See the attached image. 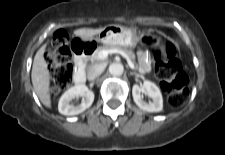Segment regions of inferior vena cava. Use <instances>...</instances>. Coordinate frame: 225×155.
Here are the masks:
<instances>
[{
    "label": "inferior vena cava",
    "mask_w": 225,
    "mask_h": 155,
    "mask_svg": "<svg viewBox=\"0 0 225 155\" xmlns=\"http://www.w3.org/2000/svg\"><path fill=\"white\" fill-rule=\"evenodd\" d=\"M104 69H105L104 64H96V65H93L92 67H90L87 72L88 80H94L95 78H97L99 75L102 74Z\"/></svg>",
    "instance_id": "obj_1"
}]
</instances>
